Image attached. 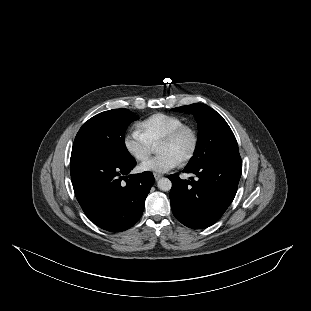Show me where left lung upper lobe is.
Segmentation results:
<instances>
[{
	"mask_svg": "<svg viewBox=\"0 0 311 311\" xmlns=\"http://www.w3.org/2000/svg\"><path fill=\"white\" fill-rule=\"evenodd\" d=\"M173 110L193 114L198 124L194 156L186 167H197L220 157L239 155L238 144L231 128L215 110L202 103Z\"/></svg>",
	"mask_w": 311,
	"mask_h": 311,
	"instance_id": "1",
	"label": "left lung upper lobe"
}]
</instances>
